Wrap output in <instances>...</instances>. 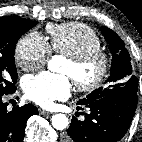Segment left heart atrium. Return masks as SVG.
<instances>
[{
    "label": "left heart atrium",
    "instance_id": "obj_1",
    "mask_svg": "<svg viewBox=\"0 0 142 142\" xmlns=\"http://www.w3.org/2000/svg\"><path fill=\"white\" fill-rule=\"evenodd\" d=\"M24 92L31 101L47 107L55 100H63L70 96V77L50 72L29 76L24 80Z\"/></svg>",
    "mask_w": 142,
    "mask_h": 142
}]
</instances>
